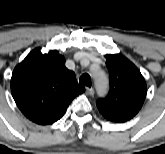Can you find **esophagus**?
<instances>
[{
	"mask_svg": "<svg viewBox=\"0 0 165 154\" xmlns=\"http://www.w3.org/2000/svg\"><path fill=\"white\" fill-rule=\"evenodd\" d=\"M86 93L90 96L94 95V89L93 88H86Z\"/></svg>",
	"mask_w": 165,
	"mask_h": 154,
	"instance_id": "1",
	"label": "esophagus"
}]
</instances>
